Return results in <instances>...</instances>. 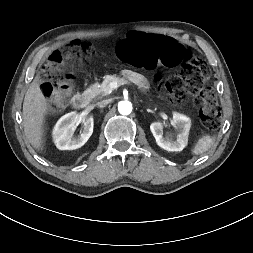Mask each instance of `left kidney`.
<instances>
[{"instance_id":"1","label":"left kidney","mask_w":253,"mask_h":253,"mask_svg":"<svg viewBox=\"0 0 253 253\" xmlns=\"http://www.w3.org/2000/svg\"><path fill=\"white\" fill-rule=\"evenodd\" d=\"M171 125L175 128L176 134L163 136V123L161 122L152 123L150 130L158 146L170 152H180L187 145L191 120L180 113L174 112Z\"/></svg>"}]
</instances>
